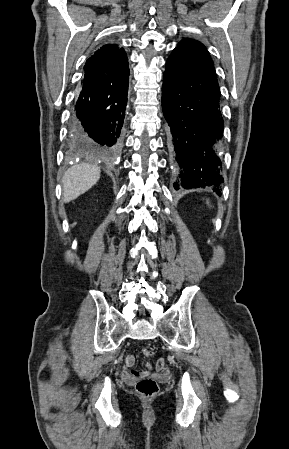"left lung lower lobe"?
<instances>
[{
  "label": "left lung lower lobe",
  "instance_id": "0a47b994",
  "mask_svg": "<svg viewBox=\"0 0 289 449\" xmlns=\"http://www.w3.org/2000/svg\"><path fill=\"white\" fill-rule=\"evenodd\" d=\"M220 89L212 60L198 52L175 48L166 62L162 109L167 144L177 164L174 188L219 186L224 182L220 141L224 121Z\"/></svg>",
  "mask_w": 289,
  "mask_h": 449
}]
</instances>
